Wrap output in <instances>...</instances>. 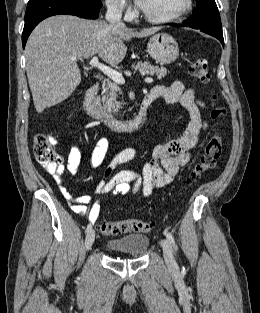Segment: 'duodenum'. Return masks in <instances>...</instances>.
<instances>
[{
  "label": "duodenum",
  "instance_id": "410a0bca",
  "mask_svg": "<svg viewBox=\"0 0 260 313\" xmlns=\"http://www.w3.org/2000/svg\"><path fill=\"white\" fill-rule=\"evenodd\" d=\"M99 83L93 84L87 89L84 95V108L86 112L95 120L111 127L113 130L125 133H134L141 129L144 124L147 110L151 103L152 98L145 97L138 109L137 115L128 121H118L113 118L106 109L102 108L97 102V94L99 91Z\"/></svg>",
  "mask_w": 260,
  "mask_h": 313
}]
</instances>
